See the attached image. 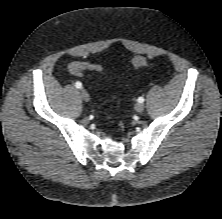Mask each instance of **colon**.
Wrapping results in <instances>:
<instances>
[{"label":"colon","instance_id":"obj_1","mask_svg":"<svg viewBox=\"0 0 222 219\" xmlns=\"http://www.w3.org/2000/svg\"><path fill=\"white\" fill-rule=\"evenodd\" d=\"M147 64V59L144 56H135L132 59V66L135 69L138 68H142L143 66H145ZM94 71L96 72H102L103 71V67L101 65L95 64L93 66Z\"/></svg>","mask_w":222,"mask_h":219}]
</instances>
